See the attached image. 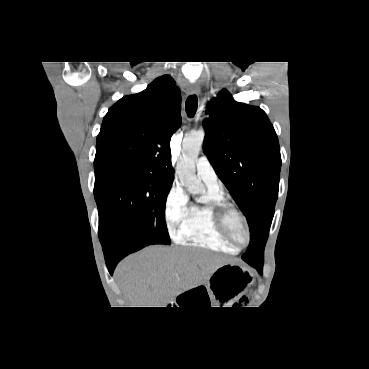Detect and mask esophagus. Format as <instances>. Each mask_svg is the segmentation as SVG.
I'll use <instances>...</instances> for the list:
<instances>
[{"label":"esophagus","mask_w":369,"mask_h":369,"mask_svg":"<svg viewBox=\"0 0 369 369\" xmlns=\"http://www.w3.org/2000/svg\"><path fill=\"white\" fill-rule=\"evenodd\" d=\"M199 92H200V87L197 84L191 85L188 89V93L191 95L199 94Z\"/></svg>","instance_id":"34e87169"}]
</instances>
